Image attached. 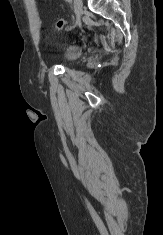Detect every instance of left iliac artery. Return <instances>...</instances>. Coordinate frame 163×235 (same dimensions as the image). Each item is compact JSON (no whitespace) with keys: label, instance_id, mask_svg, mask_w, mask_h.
<instances>
[{"label":"left iliac artery","instance_id":"44dca946","mask_svg":"<svg viewBox=\"0 0 163 235\" xmlns=\"http://www.w3.org/2000/svg\"><path fill=\"white\" fill-rule=\"evenodd\" d=\"M67 2H71L72 0H66Z\"/></svg>","mask_w":163,"mask_h":235}]
</instances>
